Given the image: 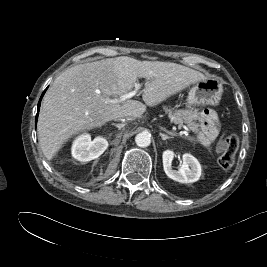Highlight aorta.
I'll return each mask as SVG.
<instances>
[{"label":"aorta","mask_w":267,"mask_h":267,"mask_svg":"<svg viewBox=\"0 0 267 267\" xmlns=\"http://www.w3.org/2000/svg\"><path fill=\"white\" fill-rule=\"evenodd\" d=\"M135 142L139 147H148L151 143L150 135L146 132H141L136 135Z\"/></svg>","instance_id":"obj_1"}]
</instances>
